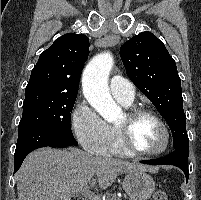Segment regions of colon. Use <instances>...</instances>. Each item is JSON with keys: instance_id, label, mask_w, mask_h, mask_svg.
Wrapping results in <instances>:
<instances>
[{"instance_id": "obj_1", "label": "colon", "mask_w": 201, "mask_h": 200, "mask_svg": "<svg viewBox=\"0 0 201 200\" xmlns=\"http://www.w3.org/2000/svg\"><path fill=\"white\" fill-rule=\"evenodd\" d=\"M154 200H169V198L165 191L159 190L155 192Z\"/></svg>"}]
</instances>
